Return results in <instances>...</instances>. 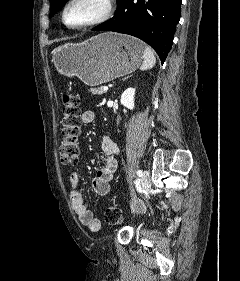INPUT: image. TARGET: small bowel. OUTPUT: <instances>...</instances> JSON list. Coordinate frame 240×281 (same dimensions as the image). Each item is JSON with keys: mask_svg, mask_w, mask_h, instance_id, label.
Segmentation results:
<instances>
[{"mask_svg": "<svg viewBox=\"0 0 240 281\" xmlns=\"http://www.w3.org/2000/svg\"><path fill=\"white\" fill-rule=\"evenodd\" d=\"M95 118L96 114L92 110H86L81 115L83 124H90L94 122ZM101 148L105 156L104 164L96 172L92 181V189L97 195L105 196L110 192V182L117 169L116 155L119 149L115 142L108 136L102 137ZM69 180L71 184L69 196L72 208L77 214L79 221L91 231L99 230L100 221L95 219L93 213L87 208L83 195L78 189L79 174L76 171H72Z\"/></svg>", "mask_w": 240, "mask_h": 281, "instance_id": "small-bowel-1", "label": "small bowel"}]
</instances>
